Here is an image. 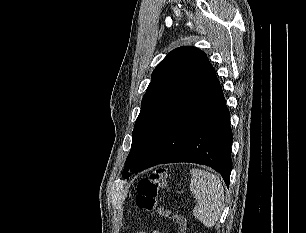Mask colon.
Segmentation results:
<instances>
[{"mask_svg":"<svg viewBox=\"0 0 306 233\" xmlns=\"http://www.w3.org/2000/svg\"><path fill=\"white\" fill-rule=\"evenodd\" d=\"M166 179L167 170L165 168H158L150 172L137 186L136 204L143 210L172 218L177 223L178 233H186L184 218L159 203L158 192Z\"/></svg>","mask_w":306,"mask_h":233,"instance_id":"5ec220e1","label":"colon"}]
</instances>
